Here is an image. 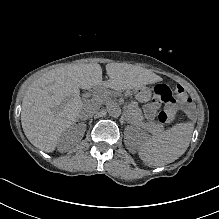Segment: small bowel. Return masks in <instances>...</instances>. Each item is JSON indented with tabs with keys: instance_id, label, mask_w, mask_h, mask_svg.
Instances as JSON below:
<instances>
[{
	"instance_id": "1",
	"label": "small bowel",
	"mask_w": 219,
	"mask_h": 219,
	"mask_svg": "<svg viewBox=\"0 0 219 219\" xmlns=\"http://www.w3.org/2000/svg\"><path fill=\"white\" fill-rule=\"evenodd\" d=\"M173 96L170 88L167 85L160 84L155 88V95L151 103L145 108V115L148 119H153L162 103H167L172 100ZM179 108L185 113L192 116L195 113V107L190 99L181 101Z\"/></svg>"
}]
</instances>
